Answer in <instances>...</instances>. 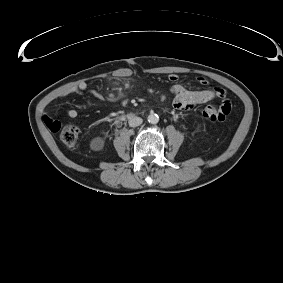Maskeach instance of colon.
Listing matches in <instances>:
<instances>
[{
  "mask_svg": "<svg viewBox=\"0 0 283 283\" xmlns=\"http://www.w3.org/2000/svg\"><path fill=\"white\" fill-rule=\"evenodd\" d=\"M231 111V104L225 101L221 106L208 105L203 110V116L212 122H223ZM47 127L52 132H59L60 140L68 147H74L79 138V129L74 125L62 126L54 120V126L49 124V118H44Z\"/></svg>",
  "mask_w": 283,
  "mask_h": 283,
  "instance_id": "1",
  "label": "colon"
}]
</instances>
